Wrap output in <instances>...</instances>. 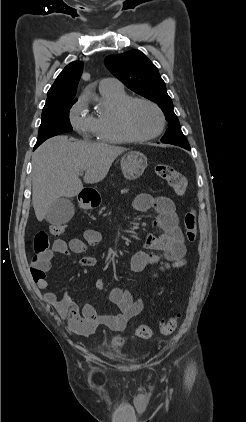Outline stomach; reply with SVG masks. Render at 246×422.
Wrapping results in <instances>:
<instances>
[{"label": "stomach", "mask_w": 246, "mask_h": 422, "mask_svg": "<svg viewBox=\"0 0 246 422\" xmlns=\"http://www.w3.org/2000/svg\"><path fill=\"white\" fill-rule=\"evenodd\" d=\"M147 167V157L139 151H130L121 159V169L127 180L139 178Z\"/></svg>", "instance_id": "stomach-1"}]
</instances>
